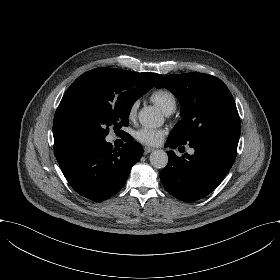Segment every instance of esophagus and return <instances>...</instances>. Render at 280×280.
<instances>
[{
  "label": "esophagus",
  "instance_id": "obj_1",
  "mask_svg": "<svg viewBox=\"0 0 280 280\" xmlns=\"http://www.w3.org/2000/svg\"><path fill=\"white\" fill-rule=\"evenodd\" d=\"M154 150V148L152 147H145L144 148V155L149 154L150 152H152Z\"/></svg>",
  "mask_w": 280,
  "mask_h": 280
}]
</instances>
